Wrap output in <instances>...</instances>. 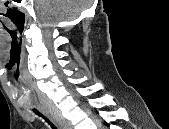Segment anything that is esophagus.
I'll use <instances>...</instances> for the list:
<instances>
[{"label":"esophagus","mask_w":169,"mask_h":129,"mask_svg":"<svg viewBox=\"0 0 169 129\" xmlns=\"http://www.w3.org/2000/svg\"><path fill=\"white\" fill-rule=\"evenodd\" d=\"M37 108V110H39L43 115H45L50 121L52 120V117L48 114V112L40 105H36L35 106Z\"/></svg>","instance_id":"obj_1"}]
</instances>
